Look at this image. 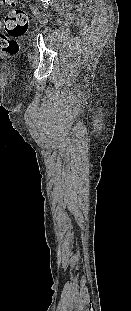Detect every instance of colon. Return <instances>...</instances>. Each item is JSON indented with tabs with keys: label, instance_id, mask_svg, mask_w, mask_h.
I'll return each mask as SVG.
<instances>
[{
	"label": "colon",
	"instance_id": "obj_1",
	"mask_svg": "<svg viewBox=\"0 0 131 311\" xmlns=\"http://www.w3.org/2000/svg\"><path fill=\"white\" fill-rule=\"evenodd\" d=\"M14 0H0V6L13 5ZM28 27L26 12L20 8L11 9L0 19V53L16 54L19 51L17 38L22 36Z\"/></svg>",
	"mask_w": 131,
	"mask_h": 311
}]
</instances>
